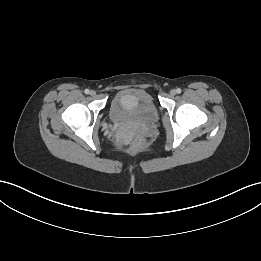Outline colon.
I'll return each instance as SVG.
<instances>
[{"label": "colon", "mask_w": 261, "mask_h": 261, "mask_svg": "<svg viewBox=\"0 0 261 261\" xmlns=\"http://www.w3.org/2000/svg\"><path fill=\"white\" fill-rule=\"evenodd\" d=\"M151 99H154V96H151ZM145 100H148V97H145ZM135 141L134 150L138 151L143 147L144 143L138 136L135 138Z\"/></svg>", "instance_id": "1"}]
</instances>
